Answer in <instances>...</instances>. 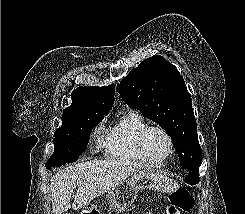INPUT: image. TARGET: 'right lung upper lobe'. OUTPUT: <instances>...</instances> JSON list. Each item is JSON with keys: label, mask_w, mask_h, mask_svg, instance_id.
Returning a JSON list of instances; mask_svg holds the SVG:
<instances>
[{"label": "right lung upper lobe", "mask_w": 245, "mask_h": 214, "mask_svg": "<svg viewBox=\"0 0 245 214\" xmlns=\"http://www.w3.org/2000/svg\"><path fill=\"white\" fill-rule=\"evenodd\" d=\"M114 103V85L105 87H80L72 92V104L62 114V126L55 133L65 130L78 116L108 113Z\"/></svg>", "instance_id": "cb5924a9"}]
</instances>
